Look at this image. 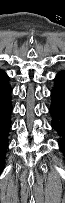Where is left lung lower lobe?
I'll list each match as a JSON object with an SVG mask.
<instances>
[{
  "mask_svg": "<svg viewBox=\"0 0 65 203\" xmlns=\"http://www.w3.org/2000/svg\"><path fill=\"white\" fill-rule=\"evenodd\" d=\"M51 98L50 114L52 115V126L61 136L59 147L65 157V71L56 75Z\"/></svg>",
  "mask_w": 65,
  "mask_h": 203,
  "instance_id": "left-lung-lower-lobe-1",
  "label": "left lung lower lobe"
}]
</instances>
